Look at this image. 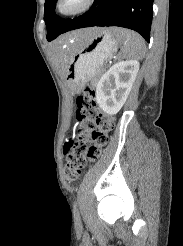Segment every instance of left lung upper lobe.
<instances>
[{"label":"left lung upper lobe","mask_w":183,"mask_h":246,"mask_svg":"<svg viewBox=\"0 0 183 246\" xmlns=\"http://www.w3.org/2000/svg\"><path fill=\"white\" fill-rule=\"evenodd\" d=\"M57 0H46L44 5V21L47 25V40L51 41L59 36L70 19H61L55 15Z\"/></svg>","instance_id":"obj_1"}]
</instances>
